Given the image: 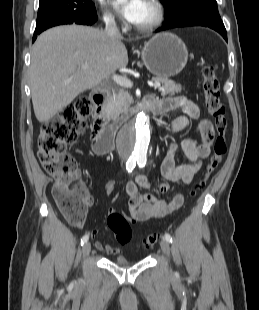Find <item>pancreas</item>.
Instances as JSON below:
<instances>
[{"instance_id":"pancreas-1","label":"pancreas","mask_w":259,"mask_h":310,"mask_svg":"<svg viewBox=\"0 0 259 310\" xmlns=\"http://www.w3.org/2000/svg\"><path fill=\"white\" fill-rule=\"evenodd\" d=\"M152 80L162 83V87L159 89L162 96H174L181 93L182 86L174 81L163 77H153ZM132 103L133 98L130 93L124 88H120L107 102V115L114 122L124 121L128 118V112Z\"/></svg>"}]
</instances>
